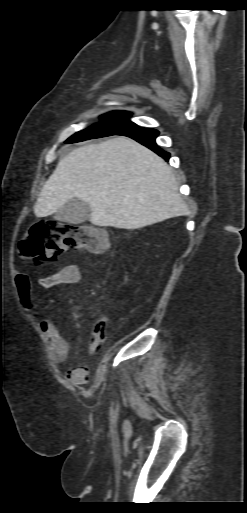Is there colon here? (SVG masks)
Returning a JSON list of instances; mask_svg holds the SVG:
<instances>
[{"label": "colon", "instance_id": "1", "mask_svg": "<svg viewBox=\"0 0 247 513\" xmlns=\"http://www.w3.org/2000/svg\"><path fill=\"white\" fill-rule=\"evenodd\" d=\"M106 233L95 227L70 224L57 220H41L32 225L20 242L24 257L37 261H55L70 248L85 249L91 253H102L109 248ZM106 340V321L99 319L94 327L90 343L98 349Z\"/></svg>", "mask_w": 247, "mask_h": 513}]
</instances>
